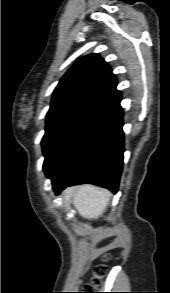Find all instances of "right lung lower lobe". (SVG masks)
Here are the masks:
<instances>
[{
	"label": "right lung lower lobe",
	"mask_w": 170,
	"mask_h": 293,
	"mask_svg": "<svg viewBox=\"0 0 170 293\" xmlns=\"http://www.w3.org/2000/svg\"><path fill=\"white\" fill-rule=\"evenodd\" d=\"M123 109L110 110L103 121L51 179L59 194L65 187L90 183L116 193L123 166Z\"/></svg>",
	"instance_id": "right-lung-lower-lobe-1"
}]
</instances>
